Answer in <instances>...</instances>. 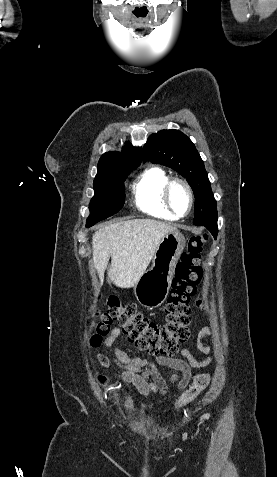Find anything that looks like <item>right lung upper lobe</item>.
I'll list each match as a JSON object with an SVG mask.
<instances>
[{
  "label": "right lung upper lobe",
  "mask_w": 277,
  "mask_h": 477,
  "mask_svg": "<svg viewBox=\"0 0 277 477\" xmlns=\"http://www.w3.org/2000/svg\"><path fill=\"white\" fill-rule=\"evenodd\" d=\"M141 157V148L126 143L121 152L110 151L101 156L97 166L98 173L113 168L136 169L141 163Z\"/></svg>",
  "instance_id": "right-lung-upper-lobe-1"
}]
</instances>
